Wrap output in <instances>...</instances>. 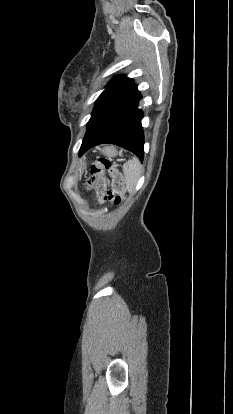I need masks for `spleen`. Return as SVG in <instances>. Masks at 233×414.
<instances>
[{"label":"spleen","instance_id":"3e777b00","mask_svg":"<svg viewBox=\"0 0 233 414\" xmlns=\"http://www.w3.org/2000/svg\"><path fill=\"white\" fill-rule=\"evenodd\" d=\"M127 189L132 192L142 173V165L137 157H133L123 165Z\"/></svg>","mask_w":233,"mask_h":414}]
</instances>
